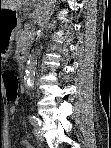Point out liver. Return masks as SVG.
<instances>
[{
    "label": "liver",
    "instance_id": "liver-1",
    "mask_svg": "<svg viewBox=\"0 0 111 148\" xmlns=\"http://www.w3.org/2000/svg\"><path fill=\"white\" fill-rule=\"evenodd\" d=\"M25 2L27 0H2L1 4L3 9H17Z\"/></svg>",
    "mask_w": 111,
    "mask_h": 148
}]
</instances>
